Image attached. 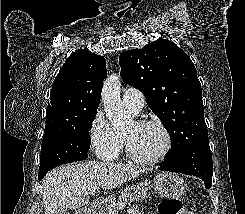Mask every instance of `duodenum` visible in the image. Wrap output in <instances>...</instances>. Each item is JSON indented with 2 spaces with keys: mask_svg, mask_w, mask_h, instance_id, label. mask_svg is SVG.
Returning a JSON list of instances; mask_svg holds the SVG:
<instances>
[{
  "mask_svg": "<svg viewBox=\"0 0 245 214\" xmlns=\"http://www.w3.org/2000/svg\"><path fill=\"white\" fill-rule=\"evenodd\" d=\"M105 209V203L101 199L94 200L89 207L80 209L77 214H89L90 211L94 214H102Z\"/></svg>",
  "mask_w": 245,
  "mask_h": 214,
  "instance_id": "duodenum-1",
  "label": "duodenum"
}]
</instances>
